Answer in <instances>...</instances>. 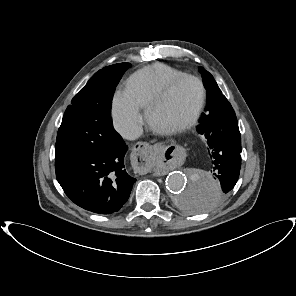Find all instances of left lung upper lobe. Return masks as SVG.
<instances>
[{
  "label": "left lung upper lobe",
  "mask_w": 296,
  "mask_h": 296,
  "mask_svg": "<svg viewBox=\"0 0 296 296\" xmlns=\"http://www.w3.org/2000/svg\"><path fill=\"white\" fill-rule=\"evenodd\" d=\"M199 70L202 74L203 84L207 90V106L204 112L206 113L214 106L215 103L224 99L225 96L222 94L213 76L203 67H199Z\"/></svg>",
  "instance_id": "1"
}]
</instances>
